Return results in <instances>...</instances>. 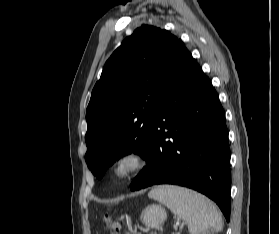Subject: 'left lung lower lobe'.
Listing matches in <instances>:
<instances>
[{"label": "left lung lower lobe", "instance_id": "left-lung-lower-lobe-1", "mask_svg": "<svg viewBox=\"0 0 279 234\" xmlns=\"http://www.w3.org/2000/svg\"><path fill=\"white\" fill-rule=\"evenodd\" d=\"M147 166L131 190L176 184L217 203L230 220V149L225 113L210 79L184 47L154 113Z\"/></svg>", "mask_w": 279, "mask_h": 234}]
</instances>
